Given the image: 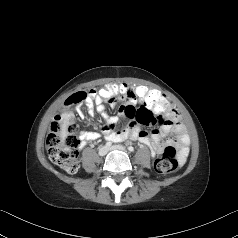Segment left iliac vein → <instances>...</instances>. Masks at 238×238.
Returning a JSON list of instances; mask_svg holds the SVG:
<instances>
[{
    "label": "left iliac vein",
    "instance_id": "1",
    "mask_svg": "<svg viewBox=\"0 0 238 238\" xmlns=\"http://www.w3.org/2000/svg\"><path fill=\"white\" fill-rule=\"evenodd\" d=\"M108 150H109V151L119 150V151L126 152L125 147H123V146H121V145H113V146H111L110 148H108Z\"/></svg>",
    "mask_w": 238,
    "mask_h": 238
}]
</instances>
